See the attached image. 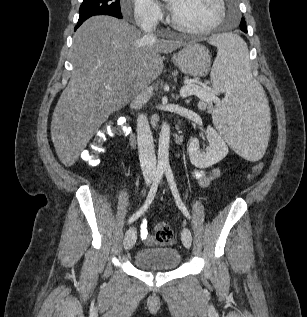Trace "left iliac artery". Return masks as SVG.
Returning a JSON list of instances; mask_svg holds the SVG:
<instances>
[{
  "label": "left iliac artery",
  "instance_id": "1",
  "mask_svg": "<svg viewBox=\"0 0 307 317\" xmlns=\"http://www.w3.org/2000/svg\"><path fill=\"white\" fill-rule=\"evenodd\" d=\"M164 173H165L167 181H168V183L170 185V188H171L172 194H173V196L175 198L177 206L182 211V213L188 219H190V214H189L186 206L184 205V203L182 202V200L180 198L179 191H178L175 179H174V175H173L172 169H171V167L169 165L164 166Z\"/></svg>",
  "mask_w": 307,
  "mask_h": 317
}]
</instances>
